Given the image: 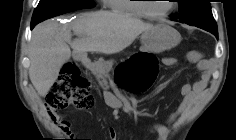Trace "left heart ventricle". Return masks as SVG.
Masks as SVG:
<instances>
[{
	"label": "left heart ventricle",
	"mask_w": 236,
	"mask_h": 140,
	"mask_svg": "<svg viewBox=\"0 0 236 140\" xmlns=\"http://www.w3.org/2000/svg\"><path fill=\"white\" fill-rule=\"evenodd\" d=\"M171 2H167L164 0H151L148 4V8L153 13H162L170 8Z\"/></svg>",
	"instance_id": "obj_1"
}]
</instances>
